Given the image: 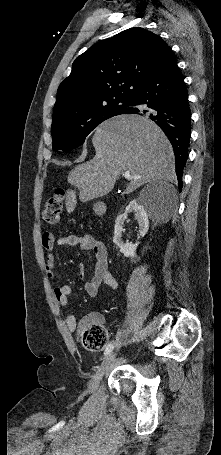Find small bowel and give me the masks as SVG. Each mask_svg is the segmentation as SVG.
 <instances>
[{
	"instance_id": "c3829d8e",
	"label": "small bowel",
	"mask_w": 221,
	"mask_h": 455,
	"mask_svg": "<svg viewBox=\"0 0 221 455\" xmlns=\"http://www.w3.org/2000/svg\"><path fill=\"white\" fill-rule=\"evenodd\" d=\"M42 245L46 250L45 269L49 278L56 274V246H79L85 251H92L96 258L95 268L92 276L85 280L84 288L88 295L96 296L102 284L107 285L112 290L119 288V283L113 277L108 269V253L105 245L90 234L67 235L56 238L53 233L45 232L42 235ZM79 276L84 279L85 273L82 265L79 267ZM71 287L69 285H61L54 288V295L60 308L66 311L65 322L71 332L79 333L86 324L91 321H102L101 316L90 315L83 317L77 322L76 317L69 310V296Z\"/></svg>"
}]
</instances>
